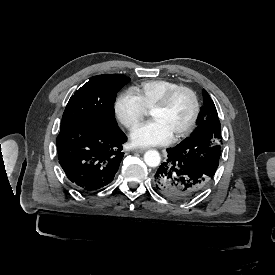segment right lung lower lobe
Instances as JSON below:
<instances>
[{
    "label": "right lung lower lobe",
    "instance_id": "98d812e1",
    "mask_svg": "<svg viewBox=\"0 0 275 275\" xmlns=\"http://www.w3.org/2000/svg\"><path fill=\"white\" fill-rule=\"evenodd\" d=\"M126 141L119 127L102 131L85 123L61 124L57 137L59 163L76 189L93 192L112 182Z\"/></svg>",
    "mask_w": 275,
    "mask_h": 275
}]
</instances>
